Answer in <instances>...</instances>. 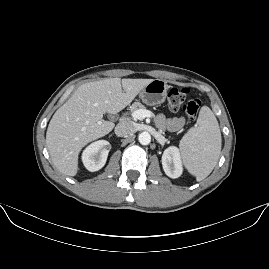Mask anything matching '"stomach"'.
I'll use <instances>...</instances> for the list:
<instances>
[{"instance_id": "0dacf381", "label": "stomach", "mask_w": 269, "mask_h": 269, "mask_svg": "<svg viewBox=\"0 0 269 269\" xmlns=\"http://www.w3.org/2000/svg\"><path fill=\"white\" fill-rule=\"evenodd\" d=\"M167 89L166 81L155 79L140 91L139 97L147 105L160 104L165 101Z\"/></svg>"}]
</instances>
